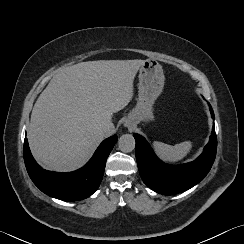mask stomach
<instances>
[{"instance_id": "obj_1", "label": "stomach", "mask_w": 244, "mask_h": 244, "mask_svg": "<svg viewBox=\"0 0 244 244\" xmlns=\"http://www.w3.org/2000/svg\"><path fill=\"white\" fill-rule=\"evenodd\" d=\"M162 66L153 59H147L139 69L137 105L130 113L135 122L154 119L153 106L164 88Z\"/></svg>"}]
</instances>
